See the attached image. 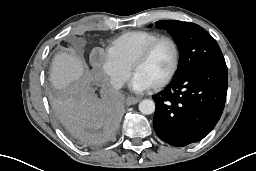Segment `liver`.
Returning <instances> with one entry per match:
<instances>
[{
	"label": "liver",
	"mask_w": 256,
	"mask_h": 171,
	"mask_svg": "<svg viewBox=\"0 0 256 171\" xmlns=\"http://www.w3.org/2000/svg\"><path fill=\"white\" fill-rule=\"evenodd\" d=\"M84 62L73 53H57L51 64L50 82L57 90L67 88L71 83H79L84 75Z\"/></svg>",
	"instance_id": "obj_1"
}]
</instances>
